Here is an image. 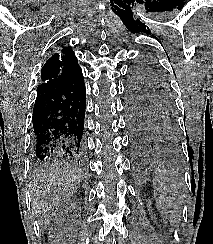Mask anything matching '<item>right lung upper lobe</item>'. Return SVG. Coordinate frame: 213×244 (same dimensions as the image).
Listing matches in <instances>:
<instances>
[{"label": "right lung upper lobe", "mask_w": 213, "mask_h": 244, "mask_svg": "<svg viewBox=\"0 0 213 244\" xmlns=\"http://www.w3.org/2000/svg\"><path fill=\"white\" fill-rule=\"evenodd\" d=\"M79 68L74 51L70 47H64L44 64L41 70V84H54L64 80Z\"/></svg>", "instance_id": "obj_1"}]
</instances>
